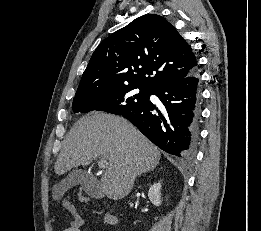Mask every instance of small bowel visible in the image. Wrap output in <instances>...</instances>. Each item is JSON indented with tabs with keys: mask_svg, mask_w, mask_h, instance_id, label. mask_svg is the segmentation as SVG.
Returning <instances> with one entry per match:
<instances>
[{
	"mask_svg": "<svg viewBox=\"0 0 261 231\" xmlns=\"http://www.w3.org/2000/svg\"><path fill=\"white\" fill-rule=\"evenodd\" d=\"M60 205L67 213H69L73 217L70 225L63 231H82L84 221L78 214L74 204L68 198L63 197L60 200Z\"/></svg>",
	"mask_w": 261,
	"mask_h": 231,
	"instance_id": "obj_1",
	"label": "small bowel"
}]
</instances>
